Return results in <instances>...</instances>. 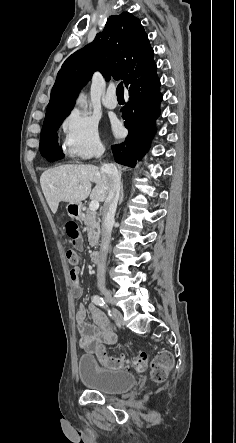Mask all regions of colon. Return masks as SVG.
I'll return each instance as SVG.
<instances>
[{"label": "colon", "instance_id": "colon-1", "mask_svg": "<svg viewBox=\"0 0 236 443\" xmlns=\"http://www.w3.org/2000/svg\"><path fill=\"white\" fill-rule=\"evenodd\" d=\"M68 238L72 242H76L80 238L79 228L76 222L70 221L65 226ZM66 258L69 265L72 267L70 272L71 280L73 283L78 281L76 274V267L80 263V255L74 249H68L66 251ZM98 361L101 365L111 369H130L134 368L137 371H145L148 366V357L145 352H140L134 356L131 360L126 359L124 356H109L103 345H96L94 349ZM173 365V357L168 352H162L157 354L151 364V377L155 382H163L169 370Z\"/></svg>", "mask_w": 236, "mask_h": 443}]
</instances>
